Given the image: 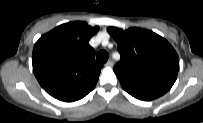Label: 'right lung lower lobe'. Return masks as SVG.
<instances>
[{
  "label": "right lung lower lobe",
  "instance_id": "98d812e1",
  "mask_svg": "<svg viewBox=\"0 0 203 123\" xmlns=\"http://www.w3.org/2000/svg\"><path fill=\"white\" fill-rule=\"evenodd\" d=\"M92 89H90V90H88L86 92H83L81 94L72 95V96L58 97L56 99H58L60 101H64V102H74V101H77V100L83 98L84 96H86Z\"/></svg>",
  "mask_w": 203,
  "mask_h": 123
}]
</instances>
